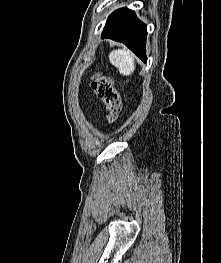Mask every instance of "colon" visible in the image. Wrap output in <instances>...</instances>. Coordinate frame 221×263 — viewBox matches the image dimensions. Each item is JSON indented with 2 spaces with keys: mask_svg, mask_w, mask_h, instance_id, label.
<instances>
[{
  "mask_svg": "<svg viewBox=\"0 0 221 263\" xmlns=\"http://www.w3.org/2000/svg\"><path fill=\"white\" fill-rule=\"evenodd\" d=\"M91 88L106 106L108 123H113L121 112V99L112 81L103 72H95Z\"/></svg>",
  "mask_w": 221,
  "mask_h": 263,
  "instance_id": "obj_1",
  "label": "colon"
}]
</instances>
